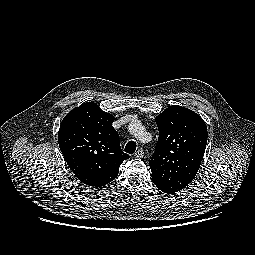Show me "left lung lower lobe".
Masks as SVG:
<instances>
[{"label":"left lung lower lobe","mask_w":255,"mask_h":255,"mask_svg":"<svg viewBox=\"0 0 255 255\" xmlns=\"http://www.w3.org/2000/svg\"><path fill=\"white\" fill-rule=\"evenodd\" d=\"M160 189V188H159ZM161 190V189H160ZM161 191H163L164 193H167V194H169V192L168 191H166V190H161Z\"/></svg>","instance_id":"1"}]
</instances>
